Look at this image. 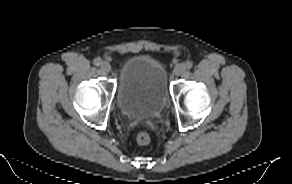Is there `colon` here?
Wrapping results in <instances>:
<instances>
[{
  "label": "colon",
  "instance_id": "colon-1",
  "mask_svg": "<svg viewBox=\"0 0 292 184\" xmlns=\"http://www.w3.org/2000/svg\"><path fill=\"white\" fill-rule=\"evenodd\" d=\"M136 140L139 145L148 146L150 145L152 138L148 132L143 131L137 134Z\"/></svg>",
  "mask_w": 292,
  "mask_h": 184
}]
</instances>
